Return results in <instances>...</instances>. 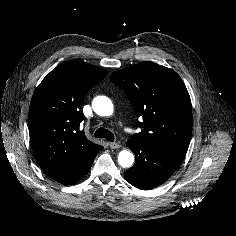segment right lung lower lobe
<instances>
[{
	"mask_svg": "<svg viewBox=\"0 0 236 236\" xmlns=\"http://www.w3.org/2000/svg\"><path fill=\"white\" fill-rule=\"evenodd\" d=\"M94 157L95 155L89 158H83L63 167L47 171L46 173L57 182L63 185H70L79 181L89 172Z\"/></svg>",
	"mask_w": 236,
	"mask_h": 236,
	"instance_id": "obj_1",
	"label": "right lung lower lobe"
}]
</instances>
